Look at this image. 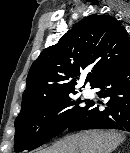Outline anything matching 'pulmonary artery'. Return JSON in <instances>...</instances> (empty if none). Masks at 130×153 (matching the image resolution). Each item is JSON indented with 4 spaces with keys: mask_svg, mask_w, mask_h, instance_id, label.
Here are the masks:
<instances>
[{
    "mask_svg": "<svg viewBox=\"0 0 130 153\" xmlns=\"http://www.w3.org/2000/svg\"><path fill=\"white\" fill-rule=\"evenodd\" d=\"M83 95L86 98H91L93 96V94L87 89L83 91Z\"/></svg>",
    "mask_w": 130,
    "mask_h": 153,
    "instance_id": "1",
    "label": "pulmonary artery"
}]
</instances>
